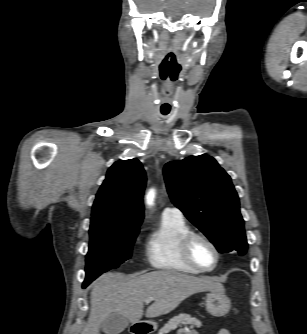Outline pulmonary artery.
Segmentation results:
<instances>
[{
    "mask_svg": "<svg viewBox=\"0 0 307 334\" xmlns=\"http://www.w3.org/2000/svg\"><path fill=\"white\" fill-rule=\"evenodd\" d=\"M163 216H171L175 218H183V214L180 209L176 207H166L162 213Z\"/></svg>",
    "mask_w": 307,
    "mask_h": 334,
    "instance_id": "e3ab8cb5",
    "label": "pulmonary artery"
}]
</instances>
